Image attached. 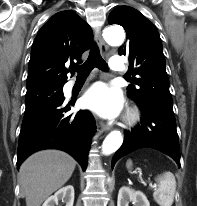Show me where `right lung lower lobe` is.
Wrapping results in <instances>:
<instances>
[{"mask_svg":"<svg viewBox=\"0 0 197 206\" xmlns=\"http://www.w3.org/2000/svg\"><path fill=\"white\" fill-rule=\"evenodd\" d=\"M64 97L25 111L19 135L17 167L32 153L42 149H60L87 166L95 120L87 110L69 114L72 103Z\"/></svg>","mask_w":197,"mask_h":206,"instance_id":"1","label":"right lung lower lobe"}]
</instances>
